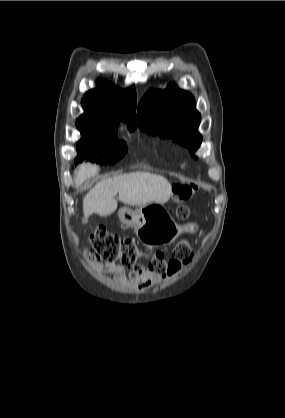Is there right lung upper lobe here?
Segmentation results:
<instances>
[{
  "label": "right lung upper lobe",
  "mask_w": 285,
  "mask_h": 418,
  "mask_svg": "<svg viewBox=\"0 0 285 418\" xmlns=\"http://www.w3.org/2000/svg\"><path fill=\"white\" fill-rule=\"evenodd\" d=\"M82 107L85 112L79 119L117 126L122 118L129 128H136V92L133 86L121 91L113 84L99 80L97 88L88 91L82 99Z\"/></svg>",
  "instance_id": "right-lung-upper-lobe-1"
}]
</instances>
